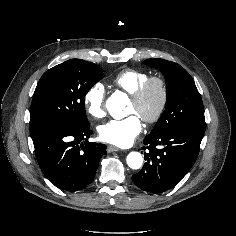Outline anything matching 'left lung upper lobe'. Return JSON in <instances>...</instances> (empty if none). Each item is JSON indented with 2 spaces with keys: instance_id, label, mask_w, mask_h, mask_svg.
Segmentation results:
<instances>
[{
  "instance_id": "1",
  "label": "left lung upper lobe",
  "mask_w": 236,
  "mask_h": 236,
  "mask_svg": "<svg viewBox=\"0 0 236 236\" xmlns=\"http://www.w3.org/2000/svg\"><path fill=\"white\" fill-rule=\"evenodd\" d=\"M143 63L162 72L167 89L166 109L150 134L177 128L205 132L203 103L188 72L180 65L163 59H149Z\"/></svg>"
}]
</instances>
